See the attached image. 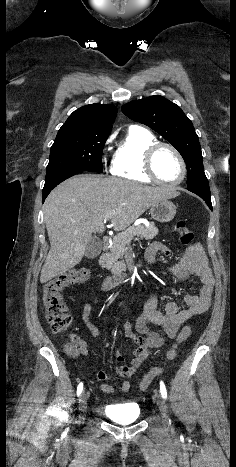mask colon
<instances>
[{"instance_id": "colon-1", "label": "colon", "mask_w": 236, "mask_h": 467, "mask_svg": "<svg viewBox=\"0 0 236 467\" xmlns=\"http://www.w3.org/2000/svg\"><path fill=\"white\" fill-rule=\"evenodd\" d=\"M177 234L179 235L180 242L188 246L193 242V232L186 226L183 220L177 221L175 225ZM89 277V270L81 267L68 270L59 274L49 280L43 287V304L45 309V316L49 327L53 333L65 332L72 322V317L64 303L61 292L70 285L82 283ZM191 333L190 326H184L179 333L176 344L167 352L166 358L168 361L175 359L177 354V347L180 343L185 341ZM69 354L76 356L85 351L83 341L75 336L69 337L67 344ZM164 367L152 368L141 380L140 388L145 391L154 377L163 371Z\"/></svg>"}]
</instances>
